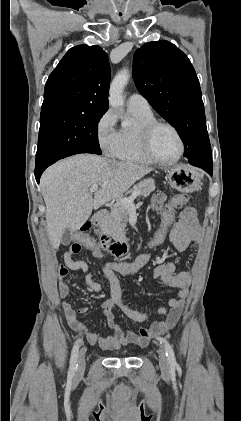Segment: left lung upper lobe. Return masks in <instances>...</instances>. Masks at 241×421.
I'll return each mask as SVG.
<instances>
[{"mask_svg": "<svg viewBox=\"0 0 241 421\" xmlns=\"http://www.w3.org/2000/svg\"><path fill=\"white\" fill-rule=\"evenodd\" d=\"M133 78L140 94L178 131L184 156L212 162L199 80L188 57L168 41L146 43L134 54Z\"/></svg>", "mask_w": 241, "mask_h": 421, "instance_id": "1", "label": "left lung upper lobe"}]
</instances>
